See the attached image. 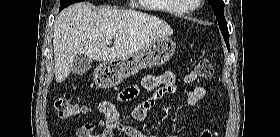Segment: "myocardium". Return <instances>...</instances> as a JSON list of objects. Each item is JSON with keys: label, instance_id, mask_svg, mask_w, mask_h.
Segmentation results:
<instances>
[{"label": "myocardium", "instance_id": "myocardium-1", "mask_svg": "<svg viewBox=\"0 0 280 137\" xmlns=\"http://www.w3.org/2000/svg\"><path fill=\"white\" fill-rule=\"evenodd\" d=\"M184 1L188 2L187 5H188L190 8H194V7L196 6V4H193V2H199V0H197V1H193V0H184Z\"/></svg>", "mask_w": 280, "mask_h": 137}]
</instances>
